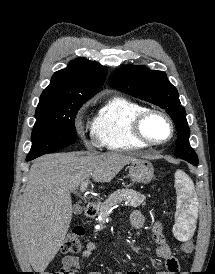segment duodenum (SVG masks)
I'll list each match as a JSON object with an SVG mask.
<instances>
[{"label":"duodenum","mask_w":215,"mask_h":274,"mask_svg":"<svg viewBox=\"0 0 215 274\" xmlns=\"http://www.w3.org/2000/svg\"><path fill=\"white\" fill-rule=\"evenodd\" d=\"M97 209V204L95 202H91L85 207L84 214L87 218H92L96 215Z\"/></svg>","instance_id":"duodenum-1"}]
</instances>
